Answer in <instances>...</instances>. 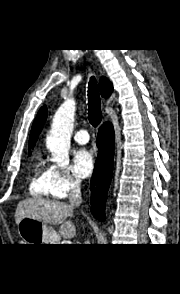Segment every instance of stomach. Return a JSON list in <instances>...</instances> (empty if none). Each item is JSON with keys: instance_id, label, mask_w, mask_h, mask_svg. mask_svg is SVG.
Instances as JSON below:
<instances>
[{"instance_id": "stomach-1", "label": "stomach", "mask_w": 180, "mask_h": 294, "mask_svg": "<svg viewBox=\"0 0 180 294\" xmlns=\"http://www.w3.org/2000/svg\"><path fill=\"white\" fill-rule=\"evenodd\" d=\"M17 227L24 244H49L56 237V232L47 224L32 218L24 217Z\"/></svg>"}]
</instances>
